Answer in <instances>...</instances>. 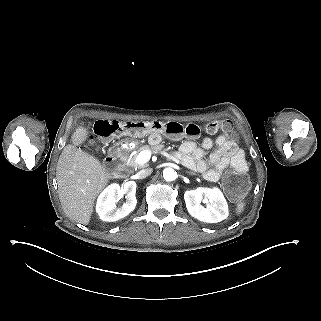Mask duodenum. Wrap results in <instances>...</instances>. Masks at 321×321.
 <instances>
[{
  "label": "duodenum",
  "instance_id": "duodenum-1",
  "mask_svg": "<svg viewBox=\"0 0 321 321\" xmlns=\"http://www.w3.org/2000/svg\"><path fill=\"white\" fill-rule=\"evenodd\" d=\"M125 152L119 147L115 146L110 149L105 162V168L109 171L121 173L124 170Z\"/></svg>",
  "mask_w": 321,
  "mask_h": 321
}]
</instances>
